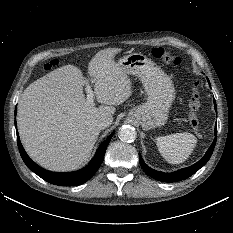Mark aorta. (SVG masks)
Returning <instances> with one entry per match:
<instances>
[{
    "label": "aorta",
    "mask_w": 233,
    "mask_h": 233,
    "mask_svg": "<svg viewBox=\"0 0 233 233\" xmlns=\"http://www.w3.org/2000/svg\"><path fill=\"white\" fill-rule=\"evenodd\" d=\"M119 137L124 142H133L137 137V132L130 125H123L119 130Z\"/></svg>",
    "instance_id": "762f6f07"
}]
</instances>
